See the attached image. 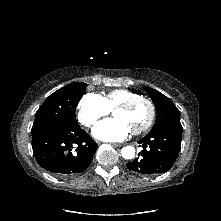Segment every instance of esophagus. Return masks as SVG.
Wrapping results in <instances>:
<instances>
[{
    "instance_id": "1",
    "label": "esophagus",
    "mask_w": 221,
    "mask_h": 221,
    "mask_svg": "<svg viewBox=\"0 0 221 221\" xmlns=\"http://www.w3.org/2000/svg\"><path fill=\"white\" fill-rule=\"evenodd\" d=\"M111 145L113 147H121V146H123V144H121V143H111Z\"/></svg>"
}]
</instances>
